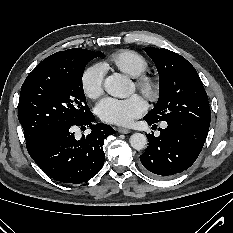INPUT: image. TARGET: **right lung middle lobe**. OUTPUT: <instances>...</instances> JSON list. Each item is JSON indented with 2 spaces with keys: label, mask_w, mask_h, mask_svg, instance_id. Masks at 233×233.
I'll return each instance as SVG.
<instances>
[{
  "label": "right lung middle lobe",
  "mask_w": 233,
  "mask_h": 233,
  "mask_svg": "<svg viewBox=\"0 0 233 233\" xmlns=\"http://www.w3.org/2000/svg\"><path fill=\"white\" fill-rule=\"evenodd\" d=\"M101 54L81 48L65 50L30 72L18 104L26 142L46 130L73 125L90 113L82 75L85 65Z\"/></svg>",
  "instance_id": "right-lung-middle-lobe-1"
}]
</instances>
